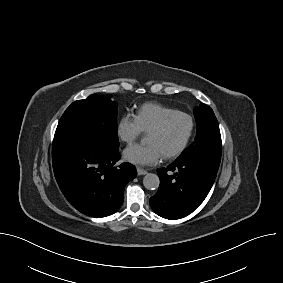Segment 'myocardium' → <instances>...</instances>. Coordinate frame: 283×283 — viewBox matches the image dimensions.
<instances>
[{
	"label": "myocardium",
	"mask_w": 283,
	"mask_h": 283,
	"mask_svg": "<svg viewBox=\"0 0 283 283\" xmlns=\"http://www.w3.org/2000/svg\"><path fill=\"white\" fill-rule=\"evenodd\" d=\"M176 117H184L189 121V132H188L185 140L183 141V143L177 149H175L172 152L163 154V157L166 158V159H172V158L178 157L188 147V145H189V143H190V141L193 137L194 131H195V121H194L193 117L188 113H185V112H182V111H176L174 113H171V114L165 116L156 126H154L153 128H151L148 131V134L149 133L162 132L167 127V125Z\"/></svg>",
	"instance_id": "myocardium-1"
}]
</instances>
